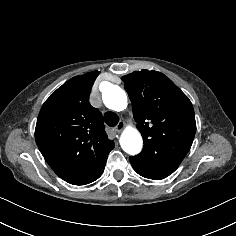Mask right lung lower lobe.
I'll return each mask as SVG.
<instances>
[{
    "label": "right lung lower lobe",
    "instance_id": "1",
    "mask_svg": "<svg viewBox=\"0 0 236 236\" xmlns=\"http://www.w3.org/2000/svg\"><path fill=\"white\" fill-rule=\"evenodd\" d=\"M107 157L101 162V164L93 171L78 174V175H69L65 177H61L66 182L73 184V185H85L91 183L98 179L103 171L106 164Z\"/></svg>",
    "mask_w": 236,
    "mask_h": 236
}]
</instances>
